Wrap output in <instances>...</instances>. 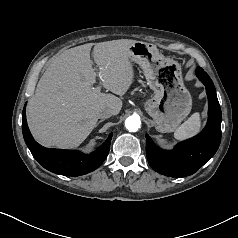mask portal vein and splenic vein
<instances>
[{
	"label": "portal vein and splenic vein",
	"instance_id": "18ae733b",
	"mask_svg": "<svg viewBox=\"0 0 238 238\" xmlns=\"http://www.w3.org/2000/svg\"><path fill=\"white\" fill-rule=\"evenodd\" d=\"M96 89H97V90H100V89H101V86L96 87Z\"/></svg>",
	"mask_w": 238,
	"mask_h": 238
}]
</instances>
